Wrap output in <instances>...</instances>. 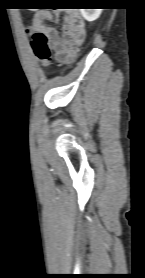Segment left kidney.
Returning a JSON list of instances; mask_svg holds the SVG:
<instances>
[{
	"label": "left kidney",
	"instance_id": "1",
	"mask_svg": "<svg viewBox=\"0 0 145 278\" xmlns=\"http://www.w3.org/2000/svg\"><path fill=\"white\" fill-rule=\"evenodd\" d=\"M82 16L89 22L99 18L102 9H80Z\"/></svg>",
	"mask_w": 145,
	"mask_h": 278
}]
</instances>
